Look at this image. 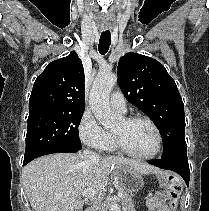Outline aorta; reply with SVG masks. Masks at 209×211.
I'll return each instance as SVG.
<instances>
[{
    "label": "aorta",
    "mask_w": 209,
    "mask_h": 211,
    "mask_svg": "<svg viewBox=\"0 0 209 211\" xmlns=\"http://www.w3.org/2000/svg\"><path fill=\"white\" fill-rule=\"evenodd\" d=\"M117 75L111 72H100L96 76L89 95V106L95 118L106 129L117 126L120 116L112 111L109 104V95L115 84ZM110 211H120L119 205L113 201Z\"/></svg>",
    "instance_id": "1"
}]
</instances>
